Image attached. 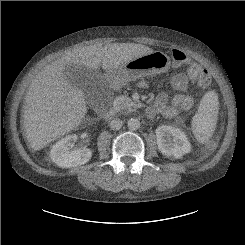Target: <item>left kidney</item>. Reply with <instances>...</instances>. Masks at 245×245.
I'll use <instances>...</instances> for the list:
<instances>
[{"label": "left kidney", "instance_id": "obj_1", "mask_svg": "<svg viewBox=\"0 0 245 245\" xmlns=\"http://www.w3.org/2000/svg\"><path fill=\"white\" fill-rule=\"evenodd\" d=\"M155 133L158 149L163 155L179 159L191 151V144L180 129L162 125L157 127Z\"/></svg>", "mask_w": 245, "mask_h": 245}]
</instances>
